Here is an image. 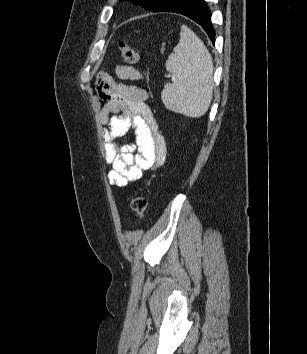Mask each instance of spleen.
<instances>
[{"instance_id": "1", "label": "spleen", "mask_w": 307, "mask_h": 354, "mask_svg": "<svg viewBox=\"0 0 307 354\" xmlns=\"http://www.w3.org/2000/svg\"><path fill=\"white\" fill-rule=\"evenodd\" d=\"M166 70L173 79L161 92L165 107L192 118L203 116L213 97V61L206 46L187 26L181 28Z\"/></svg>"}]
</instances>
